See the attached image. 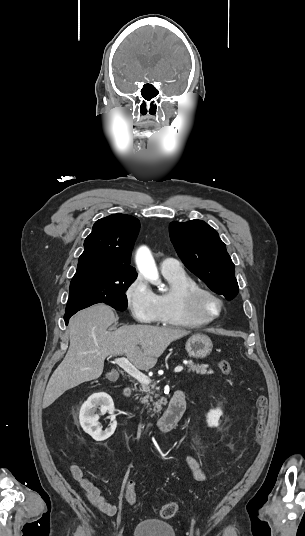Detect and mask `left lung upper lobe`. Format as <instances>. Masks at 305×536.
I'll list each match as a JSON object with an SVG mask.
<instances>
[{"label":"left lung upper lobe","mask_w":305,"mask_h":536,"mask_svg":"<svg viewBox=\"0 0 305 536\" xmlns=\"http://www.w3.org/2000/svg\"><path fill=\"white\" fill-rule=\"evenodd\" d=\"M169 233L178 256L191 272L226 299L237 295L235 266L216 230L201 220L173 221Z\"/></svg>","instance_id":"left-lung-upper-lobe-1"}]
</instances>
